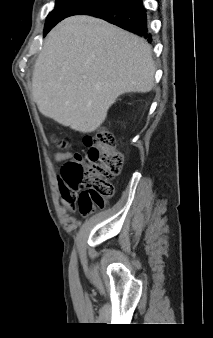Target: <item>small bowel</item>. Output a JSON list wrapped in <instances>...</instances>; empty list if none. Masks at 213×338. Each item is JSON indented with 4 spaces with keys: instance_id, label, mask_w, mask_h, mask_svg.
<instances>
[{
    "instance_id": "c3829d8e",
    "label": "small bowel",
    "mask_w": 213,
    "mask_h": 338,
    "mask_svg": "<svg viewBox=\"0 0 213 338\" xmlns=\"http://www.w3.org/2000/svg\"><path fill=\"white\" fill-rule=\"evenodd\" d=\"M57 157L58 158H66V157H68V154H57ZM61 200L67 207H71L72 202L75 200L77 202L78 206L80 207L81 196L74 197L68 191L62 190Z\"/></svg>"
}]
</instances>
